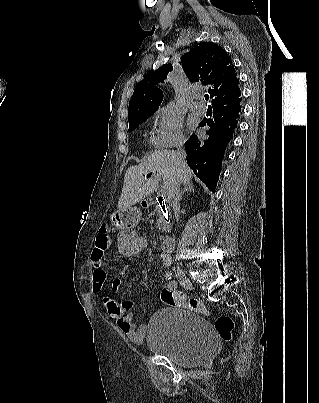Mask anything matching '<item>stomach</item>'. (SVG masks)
Masks as SVG:
<instances>
[{
  "label": "stomach",
  "instance_id": "obj_1",
  "mask_svg": "<svg viewBox=\"0 0 319 403\" xmlns=\"http://www.w3.org/2000/svg\"><path fill=\"white\" fill-rule=\"evenodd\" d=\"M112 228H119L121 234L125 229L138 227L141 224V213L136 208L130 207L125 210H111Z\"/></svg>",
  "mask_w": 319,
  "mask_h": 403
}]
</instances>
